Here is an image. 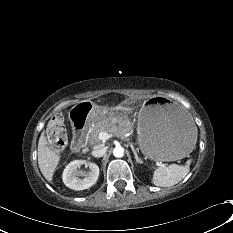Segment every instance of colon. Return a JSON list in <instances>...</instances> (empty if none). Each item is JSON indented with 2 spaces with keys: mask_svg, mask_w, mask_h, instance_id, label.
<instances>
[{
  "mask_svg": "<svg viewBox=\"0 0 233 233\" xmlns=\"http://www.w3.org/2000/svg\"><path fill=\"white\" fill-rule=\"evenodd\" d=\"M47 136L49 141L59 150H63L66 146L67 136L65 131V126L63 121L58 118L54 117L47 129Z\"/></svg>",
  "mask_w": 233,
  "mask_h": 233,
  "instance_id": "colon-1",
  "label": "colon"
}]
</instances>
